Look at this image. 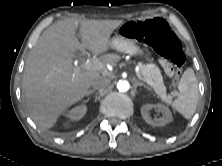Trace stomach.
I'll use <instances>...</instances> for the list:
<instances>
[{"label":"stomach","mask_w":222,"mask_h":166,"mask_svg":"<svg viewBox=\"0 0 222 166\" xmlns=\"http://www.w3.org/2000/svg\"><path fill=\"white\" fill-rule=\"evenodd\" d=\"M110 46L119 52L126 53L134 57L143 54L142 48L139 45H137L135 41L125 40L121 36V34L116 35L114 38L111 39Z\"/></svg>","instance_id":"stomach-1"}]
</instances>
